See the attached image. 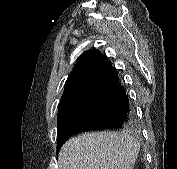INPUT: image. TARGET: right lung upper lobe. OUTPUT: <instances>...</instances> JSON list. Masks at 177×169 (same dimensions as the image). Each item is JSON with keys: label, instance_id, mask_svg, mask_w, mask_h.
I'll return each instance as SVG.
<instances>
[{"label": "right lung upper lobe", "instance_id": "obj_1", "mask_svg": "<svg viewBox=\"0 0 177 169\" xmlns=\"http://www.w3.org/2000/svg\"><path fill=\"white\" fill-rule=\"evenodd\" d=\"M107 64V59L96 50L84 53L68 76L61 100L85 87L87 81Z\"/></svg>", "mask_w": 177, "mask_h": 169}]
</instances>
